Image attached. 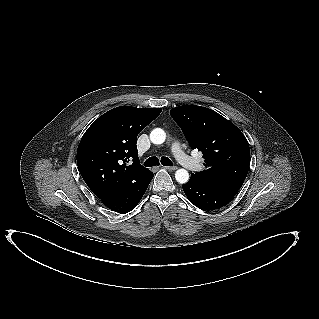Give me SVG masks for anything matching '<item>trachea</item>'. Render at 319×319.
Wrapping results in <instances>:
<instances>
[{
  "label": "trachea",
  "instance_id": "3493384b",
  "mask_svg": "<svg viewBox=\"0 0 319 319\" xmlns=\"http://www.w3.org/2000/svg\"><path fill=\"white\" fill-rule=\"evenodd\" d=\"M160 161H161V164L164 166H173L171 160L167 157H162ZM158 164H159V159L155 156L148 158L144 163L146 167H152Z\"/></svg>",
  "mask_w": 319,
  "mask_h": 319
}]
</instances>
